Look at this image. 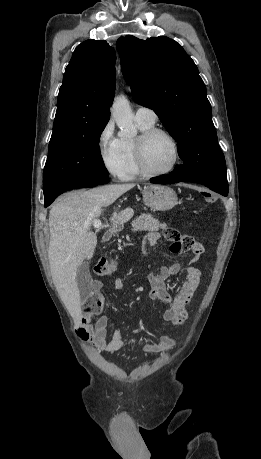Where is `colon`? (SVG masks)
Listing matches in <instances>:
<instances>
[{
	"instance_id": "1",
	"label": "colon",
	"mask_w": 261,
	"mask_h": 459,
	"mask_svg": "<svg viewBox=\"0 0 261 459\" xmlns=\"http://www.w3.org/2000/svg\"><path fill=\"white\" fill-rule=\"evenodd\" d=\"M199 197H204L207 202L213 203L215 202V190L214 188H199L198 190ZM166 238H170L173 236V231L171 229H167L164 232ZM94 272L97 275H110L115 270V263L113 260L100 257L95 265H94ZM104 298L103 295L99 292H95L91 295L89 301L87 302L84 313L88 316H93L99 313L103 306Z\"/></svg>"
}]
</instances>
